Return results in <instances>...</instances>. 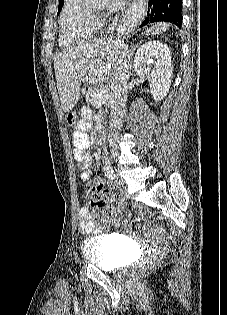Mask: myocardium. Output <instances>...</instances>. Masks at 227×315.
I'll use <instances>...</instances> for the list:
<instances>
[{
    "instance_id": "obj_1",
    "label": "myocardium",
    "mask_w": 227,
    "mask_h": 315,
    "mask_svg": "<svg viewBox=\"0 0 227 315\" xmlns=\"http://www.w3.org/2000/svg\"><path fill=\"white\" fill-rule=\"evenodd\" d=\"M87 9H88L89 14H90L92 17H94V18H97V17H98V13H97V12H95V11L89 9V8H87Z\"/></svg>"
}]
</instances>
